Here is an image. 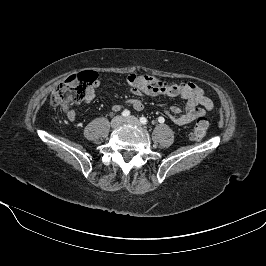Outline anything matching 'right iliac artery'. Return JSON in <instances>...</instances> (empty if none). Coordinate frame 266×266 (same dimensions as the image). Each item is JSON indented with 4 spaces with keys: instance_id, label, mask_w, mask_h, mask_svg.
Instances as JSON below:
<instances>
[{
    "instance_id": "1",
    "label": "right iliac artery",
    "mask_w": 266,
    "mask_h": 266,
    "mask_svg": "<svg viewBox=\"0 0 266 266\" xmlns=\"http://www.w3.org/2000/svg\"><path fill=\"white\" fill-rule=\"evenodd\" d=\"M130 115V111L129 110H124L123 112H122V116L123 117H128Z\"/></svg>"
}]
</instances>
